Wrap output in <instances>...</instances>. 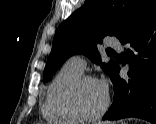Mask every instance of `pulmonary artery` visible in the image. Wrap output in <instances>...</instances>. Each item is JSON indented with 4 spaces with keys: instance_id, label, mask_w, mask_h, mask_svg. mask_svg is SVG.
Segmentation results:
<instances>
[{
    "instance_id": "e3ab8cb5",
    "label": "pulmonary artery",
    "mask_w": 156,
    "mask_h": 124,
    "mask_svg": "<svg viewBox=\"0 0 156 124\" xmlns=\"http://www.w3.org/2000/svg\"><path fill=\"white\" fill-rule=\"evenodd\" d=\"M106 45L117 49L121 48L120 42L117 38H108L106 40ZM66 65L79 72H82L85 69L86 62L82 55H74L67 60Z\"/></svg>"
}]
</instances>
